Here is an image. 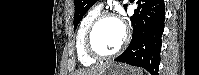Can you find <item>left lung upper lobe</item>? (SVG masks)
<instances>
[{
  "instance_id": "5c2ea615",
  "label": "left lung upper lobe",
  "mask_w": 199,
  "mask_h": 75,
  "mask_svg": "<svg viewBox=\"0 0 199 75\" xmlns=\"http://www.w3.org/2000/svg\"><path fill=\"white\" fill-rule=\"evenodd\" d=\"M96 1L97 0H75L74 29H76L85 13ZM126 7L127 5H124L125 9Z\"/></svg>"
}]
</instances>
